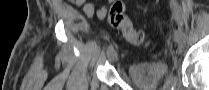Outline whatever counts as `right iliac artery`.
<instances>
[{
    "label": "right iliac artery",
    "instance_id": "obj_1",
    "mask_svg": "<svg viewBox=\"0 0 209 90\" xmlns=\"http://www.w3.org/2000/svg\"><path fill=\"white\" fill-rule=\"evenodd\" d=\"M113 51V45H109L108 48H107V55H109V53Z\"/></svg>",
    "mask_w": 209,
    "mask_h": 90
}]
</instances>
